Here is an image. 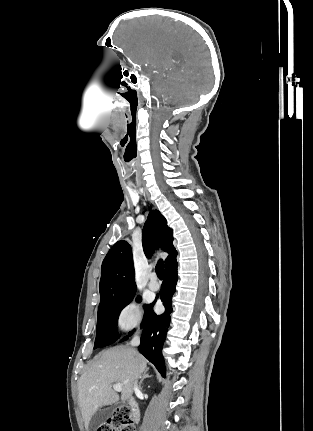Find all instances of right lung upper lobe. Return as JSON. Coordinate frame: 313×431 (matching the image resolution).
<instances>
[{"label": "right lung upper lobe", "instance_id": "right-lung-upper-lobe-1", "mask_svg": "<svg viewBox=\"0 0 313 431\" xmlns=\"http://www.w3.org/2000/svg\"><path fill=\"white\" fill-rule=\"evenodd\" d=\"M159 244L169 253L165 266L177 255L173 246V231L158 210L150 211L143 228L142 244L146 255L150 256ZM100 302L122 297L136 291L132 250L125 240L113 245L103 260L100 279Z\"/></svg>", "mask_w": 313, "mask_h": 431}]
</instances>
